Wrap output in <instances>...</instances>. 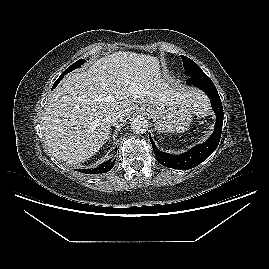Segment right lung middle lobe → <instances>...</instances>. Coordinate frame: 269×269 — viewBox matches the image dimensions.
<instances>
[{
	"label": "right lung middle lobe",
	"mask_w": 269,
	"mask_h": 269,
	"mask_svg": "<svg viewBox=\"0 0 269 269\" xmlns=\"http://www.w3.org/2000/svg\"><path fill=\"white\" fill-rule=\"evenodd\" d=\"M83 63H85V60L80 59L77 62L73 63L71 66H69L64 72L69 73L70 71H73L74 69L80 67Z\"/></svg>",
	"instance_id": "dd1d6c3e"
}]
</instances>
